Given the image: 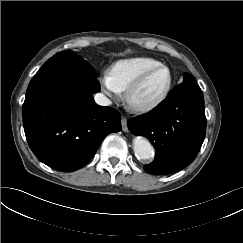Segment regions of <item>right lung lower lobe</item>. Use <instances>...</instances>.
Returning a JSON list of instances; mask_svg holds the SVG:
<instances>
[{
  "mask_svg": "<svg viewBox=\"0 0 243 243\" xmlns=\"http://www.w3.org/2000/svg\"><path fill=\"white\" fill-rule=\"evenodd\" d=\"M96 76L37 73L23 104V125L35 156L49 167L72 172L94 156L103 139L121 130L119 113L99 106Z\"/></svg>",
  "mask_w": 243,
  "mask_h": 243,
  "instance_id": "98d812e1",
  "label": "right lung lower lobe"
}]
</instances>
